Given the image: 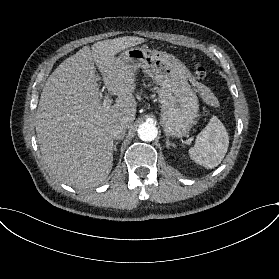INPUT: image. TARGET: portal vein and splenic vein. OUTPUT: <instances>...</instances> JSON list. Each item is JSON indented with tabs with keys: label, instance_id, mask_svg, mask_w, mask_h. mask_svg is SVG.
I'll return each instance as SVG.
<instances>
[{
	"label": "portal vein and splenic vein",
	"instance_id": "18ae733b",
	"mask_svg": "<svg viewBox=\"0 0 279 279\" xmlns=\"http://www.w3.org/2000/svg\"><path fill=\"white\" fill-rule=\"evenodd\" d=\"M104 100L110 102V99L108 98L107 95L104 96Z\"/></svg>",
	"mask_w": 279,
	"mask_h": 279
}]
</instances>
